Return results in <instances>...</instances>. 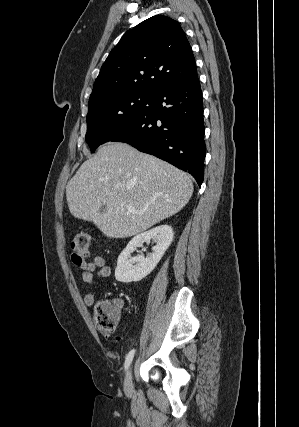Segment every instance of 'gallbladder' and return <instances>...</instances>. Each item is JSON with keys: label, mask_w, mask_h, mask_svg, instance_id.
<instances>
[{"label": "gallbladder", "mask_w": 299, "mask_h": 427, "mask_svg": "<svg viewBox=\"0 0 299 427\" xmlns=\"http://www.w3.org/2000/svg\"><path fill=\"white\" fill-rule=\"evenodd\" d=\"M105 209H106L105 205H101V206H100V212H101V213H103V212L105 211Z\"/></svg>", "instance_id": "obj_1"}]
</instances>
